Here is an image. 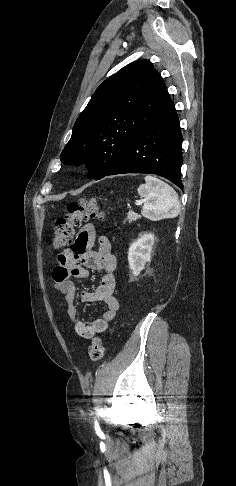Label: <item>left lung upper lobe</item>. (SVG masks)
Returning <instances> with one entry per match:
<instances>
[{"label": "left lung upper lobe", "mask_w": 236, "mask_h": 486, "mask_svg": "<svg viewBox=\"0 0 236 486\" xmlns=\"http://www.w3.org/2000/svg\"><path fill=\"white\" fill-rule=\"evenodd\" d=\"M171 101L151 62L130 63L97 88L75 122L61 161L87 164L90 179L105 177L135 136Z\"/></svg>", "instance_id": "obj_1"}]
</instances>
